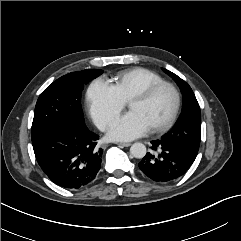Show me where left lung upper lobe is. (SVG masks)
<instances>
[{
	"label": "left lung upper lobe",
	"mask_w": 241,
	"mask_h": 241,
	"mask_svg": "<svg viewBox=\"0 0 241 241\" xmlns=\"http://www.w3.org/2000/svg\"><path fill=\"white\" fill-rule=\"evenodd\" d=\"M179 85L183 94V113L178 123L162 140L172 142L196 158L201 135V112L196 97L190 86L176 74L164 69Z\"/></svg>",
	"instance_id": "left-lung-upper-lobe-1"
}]
</instances>
